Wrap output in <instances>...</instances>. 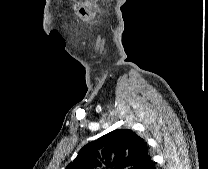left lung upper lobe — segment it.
<instances>
[{
	"label": "left lung upper lobe",
	"instance_id": "obj_1",
	"mask_svg": "<svg viewBox=\"0 0 208 169\" xmlns=\"http://www.w3.org/2000/svg\"><path fill=\"white\" fill-rule=\"evenodd\" d=\"M148 155L141 137L117 129L85 145L66 169H142Z\"/></svg>",
	"mask_w": 208,
	"mask_h": 169
}]
</instances>
